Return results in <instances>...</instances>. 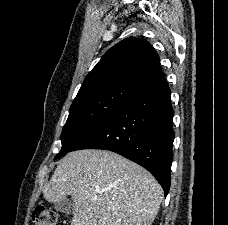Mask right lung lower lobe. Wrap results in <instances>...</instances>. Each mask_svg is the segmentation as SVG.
<instances>
[{
    "label": "right lung lower lobe",
    "mask_w": 228,
    "mask_h": 225,
    "mask_svg": "<svg viewBox=\"0 0 228 225\" xmlns=\"http://www.w3.org/2000/svg\"><path fill=\"white\" fill-rule=\"evenodd\" d=\"M173 115L170 89L162 72L84 135L70 151L116 152L151 172L166 196L173 158Z\"/></svg>",
    "instance_id": "1"
}]
</instances>
